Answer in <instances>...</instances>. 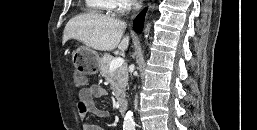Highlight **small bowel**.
Here are the masks:
<instances>
[{"instance_id":"obj_1","label":"small bowel","mask_w":257,"mask_h":130,"mask_svg":"<svg viewBox=\"0 0 257 130\" xmlns=\"http://www.w3.org/2000/svg\"><path fill=\"white\" fill-rule=\"evenodd\" d=\"M106 95V90L97 84L80 90L78 95V111L80 116L83 118V130H103L100 126L87 121L86 117L90 114L98 118H105L108 116V112L106 110L98 108L94 103L95 98H102Z\"/></svg>"}]
</instances>
